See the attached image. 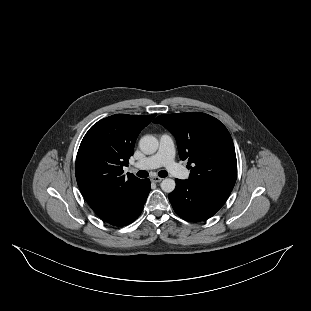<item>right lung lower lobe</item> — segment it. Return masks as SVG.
<instances>
[{
    "mask_svg": "<svg viewBox=\"0 0 311 311\" xmlns=\"http://www.w3.org/2000/svg\"><path fill=\"white\" fill-rule=\"evenodd\" d=\"M150 190V180H141L121 202L114 204L98 216L113 226L130 224L142 212Z\"/></svg>",
    "mask_w": 311,
    "mask_h": 311,
    "instance_id": "obj_1",
    "label": "right lung lower lobe"
}]
</instances>
